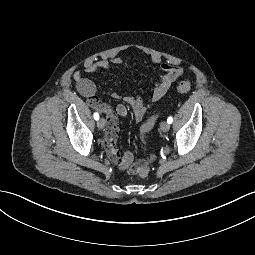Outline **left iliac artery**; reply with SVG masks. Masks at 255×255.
Listing matches in <instances>:
<instances>
[{
    "instance_id": "1",
    "label": "left iliac artery",
    "mask_w": 255,
    "mask_h": 255,
    "mask_svg": "<svg viewBox=\"0 0 255 255\" xmlns=\"http://www.w3.org/2000/svg\"><path fill=\"white\" fill-rule=\"evenodd\" d=\"M167 122H168L169 124H171V123L173 122V118H172L171 116L168 117Z\"/></svg>"
}]
</instances>
